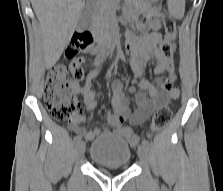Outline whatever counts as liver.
<instances>
[{"label": "liver", "mask_w": 223, "mask_h": 191, "mask_svg": "<svg viewBox=\"0 0 223 191\" xmlns=\"http://www.w3.org/2000/svg\"><path fill=\"white\" fill-rule=\"evenodd\" d=\"M31 4L42 30L45 66L51 68L69 44L84 8V2L31 0Z\"/></svg>", "instance_id": "liver-1"}]
</instances>
